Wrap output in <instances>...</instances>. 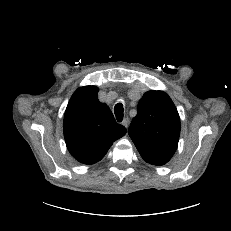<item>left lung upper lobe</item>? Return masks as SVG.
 I'll use <instances>...</instances> for the list:
<instances>
[{"label": "left lung upper lobe", "mask_w": 231, "mask_h": 231, "mask_svg": "<svg viewBox=\"0 0 231 231\" xmlns=\"http://www.w3.org/2000/svg\"><path fill=\"white\" fill-rule=\"evenodd\" d=\"M128 133L141 157L161 166L174 155L180 135V118L170 97L162 92H146L138 103Z\"/></svg>", "instance_id": "obj_1"}]
</instances>
